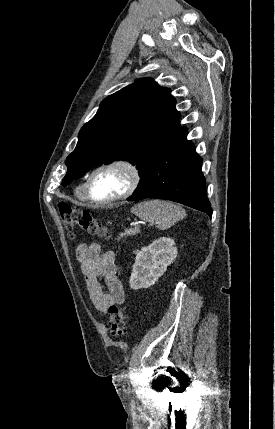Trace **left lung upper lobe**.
I'll return each mask as SVG.
<instances>
[{
  "mask_svg": "<svg viewBox=\"0 0 275 429\" xmlns=\"http://www.w3.org/2000/svg\"><path fill=\"white\" fill-rule=\"evenodd\" d=\"M168 88L151 78L139 79L108 96L80 130L75 150L67 157L62 185L94 166L127 160L143 174L154 155L177 133L180 113Z\"/></svg>",
  "mask_w": 275,
  "mask_h": 429,
  "instance_id": "left-lung-upper-lobe-1",
  "label": "left lung upper lobe"
}]
</instances>
